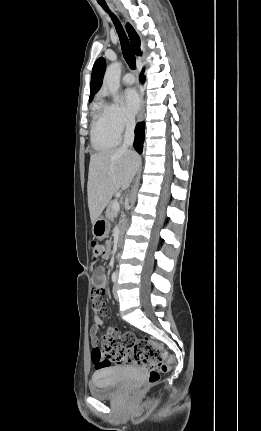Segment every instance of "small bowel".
Instances as JSON below:
<instances>
[{"label":"small bowel","mask_w":261,"mask_h":431,"mask_svg":"<svg viewBox=\"0 0 261 431\" xmlns=\"http://www.w3.org/2000/svg\"><path fill=\"white\" fill-rule=\"evenodd\" d=\"M107 256V255H106ZM92 283H93V291L90 295V300L92 301L91 306L92 310L95 313V316H98L95 318V322L92 326V331L89 333V336L92 338V342L95 344L97 339L96 337L100 335V329L102 328V323L104 321L105 312L104 310V288L107 284V276L105 274V271L102 267H96L93 272L92 276ZM107 332L109 336L116 335L118 333L117 329L115 328H109L107 329ZM95 358L93 357V361ZM121 364L119 362H116L114 360H111V364ZM110 364V365H111Z\"/></svg>","instance_id":"obj_1"}]
</instances>
